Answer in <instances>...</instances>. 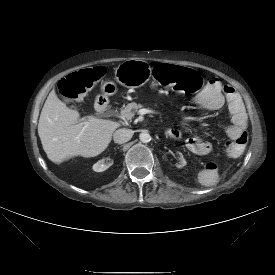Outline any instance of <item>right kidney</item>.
<instances>
[{"label":"right kidney","mask_w":275,"mask_h":275,"mask_svg":"<svg viewBox=\"0 0 275 275\" xmlns=\"http://www.w3.org/2000/svg\"><path fill=\"white\" fill-rule=\"evenodd\" d=\"M112 159L111 158H104L103 160L101 161H98L97 163H95L93 165V170L95 172H103L105 171L106 169H108L109 167L112 166Z\"/></svg>","instance_id":"obj_1"}]
</instances>
